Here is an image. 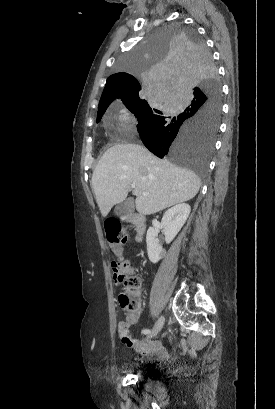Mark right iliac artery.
Returning a JSON list of instances; mask_svg holds the SVG:
<instances>
[{"instance_id":"right-iliac-artery-1","label":"right iliac artery","mask_w":275,"mask_h":409,"mask_svg":"<svg viewBox=\"0 0 275 409\" xmlns=\"http://www.w3.org/2000/svg\"><path fill=\"white\" fill-rule=\"evenodd\" d=\"M142 333H144V334L150 333V330H147V329L143 330Z\"/></svg>"}]
</instances>
